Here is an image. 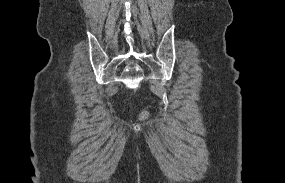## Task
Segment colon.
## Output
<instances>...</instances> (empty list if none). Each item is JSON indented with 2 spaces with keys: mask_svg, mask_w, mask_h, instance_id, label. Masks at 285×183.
I'll use <instances>...</instances> for the list:
<instances>
[{
  "mask_svg": "<svg viewBox=\"0 0 285 183\" xmlns=\"http://www.w3.org/2000/svg\"><path fill=\"white\" fill-rule=\"evenodd\" d=\"M148 116V113L146 112V111H144L143 113H142V117L143 118H146Z\"/></svg>",
  "mask_w": 285,
  "mask_h": 183,
  "instance_id": "obj_1",
  "label": "colon"
}]
</instances>
